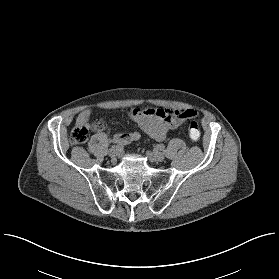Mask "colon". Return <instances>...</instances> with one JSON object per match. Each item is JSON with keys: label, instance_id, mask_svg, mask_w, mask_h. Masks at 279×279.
Here are the masks:
<instances>
[{"label": "colon", "instance_id": "obj_1", "mask_svg": "<svg viewBox=\"0 0 279 279\" xmlns=\"http://www.w3.org/2000/svg\"><path fill=\"white\" fill-rule=\"evenodd\" d=\"M193 119V118H192ZM189 137L193 142H198L200 139V128L198 122L196 120H192L189 127H188ZM89 136V128L86 125H76L70 136L71 143L76 144H83L87 141Z\"/></svg>", "mask_w": 279, "mask_h": 279}]
</instances>
